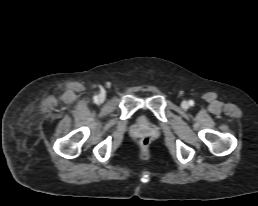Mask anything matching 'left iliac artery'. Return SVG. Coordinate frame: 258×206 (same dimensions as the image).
<instances>
[{
    "mask_svg": "<svg viewBox=\"0 0 258 206\" xmlns=\"http://www.w3.org/2000/svg\"><path fill=\"white\" fill-rule=\"evenodd\" d=\"M194 104V102L193 101H190V105H193Z\"/></svg>",
    "mask_w": 258,
    "mask_h": 206,
    "instance_id": "left-iliac-artery-1",
    "label": "left iliac artery"
}]
</instances>
